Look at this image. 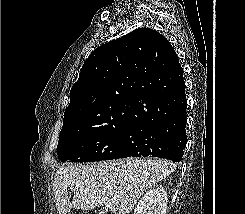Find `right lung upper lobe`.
I'll return each instance as SVG.
<instances>
[{"label":"right lung upper lobe","instance_id":"1","mask_svg":"<svg viewBox=\"0 0 245 214\" xmlns=\"http://www.w3.org/2000/svg\"><path fill=\"white\" fill-rule=\"evenodd\" d=\"M175 51L160 33L136 29L91 52L70 91L64 118L85 126L133 119L167 86Z\"/></svg>","mask_w":245,"mask_h":214}]
</instances>
